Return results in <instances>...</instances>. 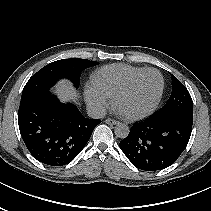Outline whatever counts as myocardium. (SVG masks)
<instances>
[{
    "instance_id": "1",
    "label": "myocardium",
    "mask_w": 211,
    "mask_h": 211,
    "mask_svg": "<svg viewBox=\"0 0 211 211\" xmlns=\"http://www.w3.org/2000/svg\"><path fill=\"white\" fill-rule=\"evenodd\" d=\"M149 72H156L161 78V88H160L159 94H158L155 102L152 104V106L150 108H148L147 110L140 112V113H135V114L123 113V115L130 120H137V119L147 117L148 115L152 114L156 110V108L159 106V104L162 100L163 94H164V90H165V79H164L163 74L156 68H147V69L143 70L142 72L138 73L137 75H135L128 83H126L114 95L113 101H114L115 106L118 107L119 100L133 89V87L136 85V83L140 80L141 77H143L145 74H147Z\"/></svg>"
}]
</instances>
